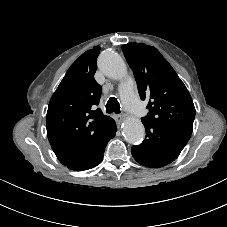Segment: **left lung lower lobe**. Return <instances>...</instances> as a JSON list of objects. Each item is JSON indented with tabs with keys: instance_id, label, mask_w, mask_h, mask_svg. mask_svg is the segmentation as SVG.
I'll return each instance as SVG.
<instances>
[{
	"instance_id": "0a47b994",
	"label": "left lung lower lobe",
	"mask_w": 227,
	"mask_h": 227,
	"mask_svg": "<svg viewBox=\"0 0 227 227\" xmlns=\"http://www.w3.org/2000/svg\"><path fill=\"white\" fill-rule=\"evenodd\" d=\"M146 138L131 148L134 159L148 167L159 168L174 161L187 144V138L162 127L144 123Z\"/></svg>"
}]
</instances>
